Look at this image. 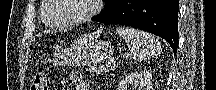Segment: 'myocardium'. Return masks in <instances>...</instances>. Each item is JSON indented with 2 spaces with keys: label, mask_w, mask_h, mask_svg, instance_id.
Here are the masks:
<instances>
[{
  "label": "myocardium",
  "mask_w": 216,
  "mask_h": 90,
  "mask_svg": "<svg viewBox=\"0 0 216 90\" xmlns=\"http://www.w3.org/2000/svg\"><path fill=\"white\" fill-rule=\"evenodd\" d=\"M48 2H54L53 8H51V11H47L46 17H42L43 24L50 30L53 31H68L72 30L74 28H77L84 23L90 21L99 11V5L98 3H101V0H87L85 1V4L87 5L86 12L82 15V17L76 21L73 24L70 25H64V26H55L50 24L48 21H51V18L54 17V15H57V12H60L63 6V2H60V0H48Z\"/></svg>",
  "instance_id": "1"
}]
</instances>
